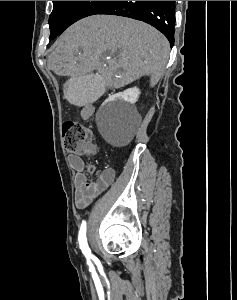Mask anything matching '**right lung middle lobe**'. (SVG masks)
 Masks as SVG:
<instances>
[{"instance_id":"obj_1","label":"right lung middle lobe","mask_w":237,"mask_h":300,"mask_svg":"<svg viewBox=\"0 0 237 300\" xmlns=\"http://www.w3.org/2000/svg\"><path fill=\"white\" fill-rule=\"evenodd\" d=\"M106 1H53L49 17L50 40L60 35L71 24L93 15Z\"/></svg>"}]
</instances>
